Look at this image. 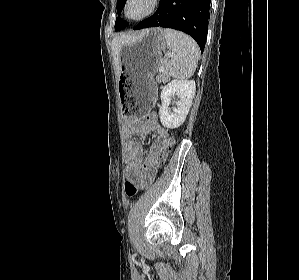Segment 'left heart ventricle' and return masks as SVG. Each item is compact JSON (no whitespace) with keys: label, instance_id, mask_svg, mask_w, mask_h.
<instances>
[{"label":"left heart ventricle","instance_id":"obj_1","mask_svg":"<svg viewBox=\"0 0 299 280\" xmlns=\"http://www.w3.org/2000/svg\"><path fill=\"white\" fill-rule=\"evenodd\" d=\"M147 8L146 0H133L128 7V14L131 17L141 15Z\"/></svg>","mask_w":299,"mask_h":280}]
</instances>
